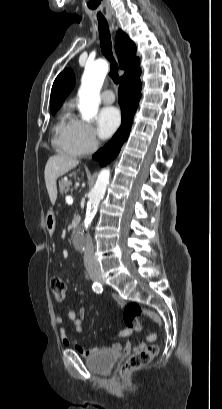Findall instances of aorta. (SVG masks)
Here are the masks:
<instances>
[{
  "mask_svg": "<svg viewBox=\"0 0 222 409\" xmlns=\"http://www.w3.org/2000/svg\"><path fill=\"white\" fill-rule=\"evenodd\" d=\"M108 72V64L104 60H98L93 64H88L82 76V84L79 90V105L82 119L90 121L98 113L100 102V89ZM110 178V170L103 169L96 180L94 187L89 193L84 229L90 226L93 215L97 210L100 201L103 199Z\"/></svg>",
  "mask_w": 222,
  "mask_h": 409,
  "instance_id": "obj_1",
  "label": "aorta"
}]
</instances>
